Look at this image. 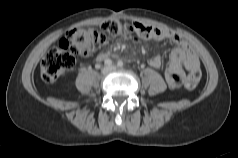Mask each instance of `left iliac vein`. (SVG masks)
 <instances>
[{
	"instance_id": "1",
	"label": "left iliac vein",
	"mask_w": 238,
	"mask_h": 158,
	"mask_svg": "<svg viewBox=\"0 0 238 158\" xmlns=\"http://www.w3.org/2000/svg\"><path fill=\"white\" fill-rule=\"evenodd\" d=\"M110 69H111V70H115L116 67H115V66H111Z\"/></svg>"
}]
</instances>
